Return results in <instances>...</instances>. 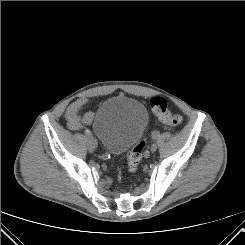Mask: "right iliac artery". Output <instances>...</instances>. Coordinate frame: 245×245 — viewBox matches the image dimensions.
<instances>
[{"label": "right iliac artery", "mask_w": 245, "mask_h": 245, "mask_svg": "<svg viewBox=\"0 0 245 245\" xmlns=\"http://www.w3.org/2000/svg\"><path fill=\"white\" fill-rule=\"evenodd\" d=\"M85 135H86L87 138H89V140H90L92 143H95V147H96V148H99V147H100V144L98 143V141H97V140H94L93 137H91L92 135H91V133H90L89 130H85Z\"/></svg>", "instance_id": "1"}]
</instances>
